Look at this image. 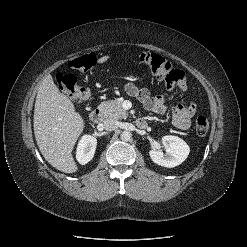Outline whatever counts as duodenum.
I'll return each instance as SVG.
<instances>
[{"instance_id":"obj_1","label":"duodenum","mask_w":247,"mask_h":247,"mask_svg":"<svg viewBox=\"0 0 247 247\" xmlns=\"http://www.w3.org/2000/svg\"><path fill=\"white\" fill-rule=\"evenodd\" d=\"M103 118H104V111L100 107L95 108L90 114V119L95 124L100 123L103 120ZM137 126L140 128H146L147 121L143 118H140L137 120Z\"/></svg>"}]
</instances>
